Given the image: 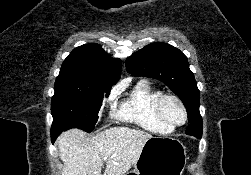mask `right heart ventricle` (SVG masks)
<instances>
[{
  "instance_id": "e07e8e85",
  "label": "right heart ventricle",
  "mask_w": 251,
  "mask_h": 175,
  "mask_svg": "<svg viewBox=\"0 0 251 175\" xmlns=\"http://www.w3.org/2000/svg\"><path fill=\"white\" fill-rule=\"evenodd\" d=\"M161 94L162 91L150 83L139 81L120 105L118 117L152 134L165 136L174 133L155 114L154 104Z\"/></svg>"
}]
</instances>
